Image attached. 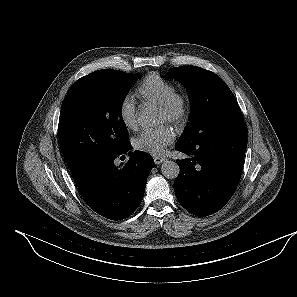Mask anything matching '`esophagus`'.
I'll return each mask as SVG.
<instances>
[{
    "mask_svg": "<svg viewBox=\"0 0 297 297\" xmlns=\"http://www.w3.org/2000/svg\"><path fill=\"white\" fill-rule=\"evenodd\" d=\"M164 161H165V158H163V157H154V163L156 165H159V164H161Z\"/></svg>",
    "mask_w": 297,
    "mask_h": 297,
    "instance_id": "obj_1",
    "label": "esophagus"
}]
</instances>
